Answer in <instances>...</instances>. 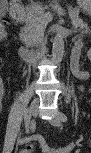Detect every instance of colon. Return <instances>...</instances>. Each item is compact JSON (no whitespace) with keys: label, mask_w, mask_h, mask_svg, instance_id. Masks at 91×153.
<instances>
[{"label":"colon","mask_w":91,"mask_h":153,"mask_svg":"<svg viewBox=\"0 0 91 153\" xmlns=\"http://www.w3.org/2000/svg\"><path fill=\"white\" fill-rule=\"evenodd\" d=\"M0 29H5V24L2 23L0 25ZM39 146L42 147V148H46V149L48 148V145H47V142L46 141L44 143H39ZM36 148H37L36 145L30 144V145H28L26 147V152L27 153H33V152H35Z\"/></svg>","instance_id":"1"}]
</instances>
